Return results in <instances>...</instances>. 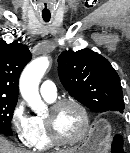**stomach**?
<instances>
[{"instance_id": "obj_1", "label": "stomach", "mask_w": 130, "mask_h": 153, "mask_svg": "<svg viewBox=\"0 0 130 153\" xmlns=\"http://www.w3.org/2000/svg\"><path fill=\"white\" fill-rule=\"evenodd\" d=\"M111 128L105 123L97 124L86 139L72 153H104L109 147Z\"/></svg>"}]
</instances>
